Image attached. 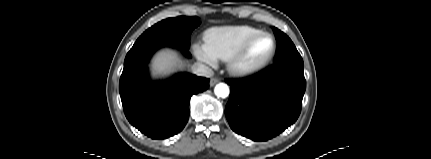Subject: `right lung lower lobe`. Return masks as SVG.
I'll list each match as a JSON object with an SVG mask.
<instances>
[{"mask_svg": "<svg viewBox=\"0 0 431 159\" xmlns=\"http://www.w3.org/2000/svg\"><path fill=\"white\" fill-rule=\"evenodd\" d=\"M179 48L190 57L188 48L177 43L149 41L133 45L124 61L119 91L128 121L152 139H166L185 127L192 95L209 87V79L180 72L163 81H153L148 62L159 48Z\"/></svg>", "mask_w": 431, "mask_h": 159, "instance_id": "98d812e1", "label": "right lung lower lobe"}]
</instances>
